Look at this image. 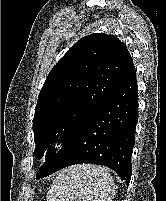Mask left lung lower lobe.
I'll use <instances>...</instances> for the list:
<instances>
[{"mask_svg": "<svg viewBox=\"0 0 166 201\" xmlns=\"http://www.w3.org/2000/svg\"><path fill=\"white\" fill-rule=\"evenodd\" d=\"M138 121V91L134 65L84 123L47 158L36 179L81 163L104 165L128 185Z\"/></svg>", "mask_w": 166, "mask_h": 201, "instance_id": "left-lung-lower-lobe-1", "label": "left lung lower lobe"}]
</instances>
